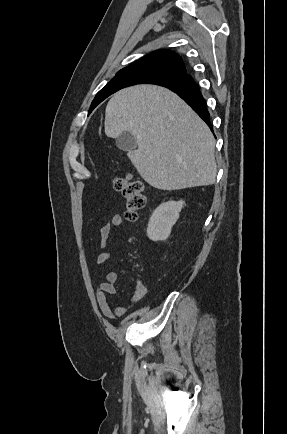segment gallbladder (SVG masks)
<instances>
[{
    "label": "gallbladder",
    "instance_id": "1",
    "mask_svg": "<svg viewBox=\"0 0 287 434\" xmlns=\"http://www.w3.org/2000/svg\"><path fill=\"white\" fill-rule=\"evenodd\" d=\"M117 147L122 151L132 152L137 147V141L130 132H123L116 139Z\"/></svg>",
    "mask_w": 287,
    "mask_h": 434
}]
</instances>
